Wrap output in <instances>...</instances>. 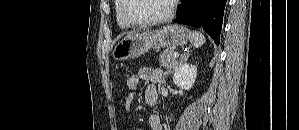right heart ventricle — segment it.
Returning <instances> with one entry per match:
<instances>
[{"label":"right heart ventricle","mask_w":299,"mask_h":130,"mask_svg":"<svg viewBox=\"0 0 299 130\" xmlns=\"http://www.w3.org/2000/svg\"><path fill=\"white\" fill-rule=\"evenodd\" d=\"M123 0H115L114 9L117 24L122 29H129L132 25L128 24L122 17Z\"/></svg>","instance_id":"obj_1"}]
</instances>
